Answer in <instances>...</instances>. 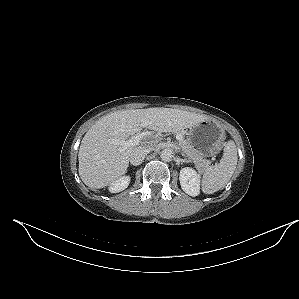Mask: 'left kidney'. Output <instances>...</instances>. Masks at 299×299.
Returning <instances> with one entry per match:
<instances>
[{
	"label": "left kidney",
	"mask_w": 299,
	"mask_h": 299,
	"mask_svg": "<svg viewBox=\"0 0 299 299\" xmlns=\"http://www.w3.org/2000/svg\"><path fill=\"white\" fill-rule=\"evenodd\" d=\"M180 185L185 193L195 197L200 193V176L192 168L186 167L180 170Z\"/></svg>",
	"instance_id": "obj_1"
}]
</instances>
